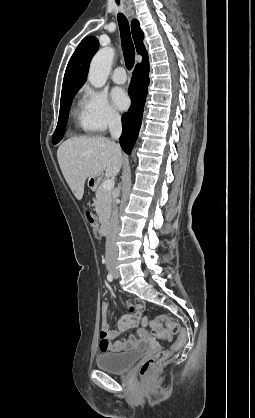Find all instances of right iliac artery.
Returning a JSON list of instances; mask_svg holds the SVG:
<instances>
[{
	"label": "right iliac artery",
	"instance_id": "82829eb1",
	"mask_svg": "<svg viewBox=\"0 0 255 418\" xmlns=\"http://www.w3.org/2000/svg\"><path fill=\"white\" fill-rule=\"evenodd\" d=\"M107 279H108V281H109V282H112V280H113V276H112V274H111V273H109V274L107 275Z\"/></svg>",
	"mask_w": 255,
	"mask_h": 418
}]
</instances>
